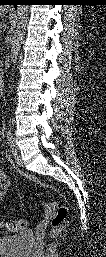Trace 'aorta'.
Segmentation results:
<instances>
[{"mask_svg": "<svg viewBox=\"0 0 106 257\" xmlns=\"http://www.w3.org/2000/svg\"><path fill=\"white\" fill-rule=\"evenodd\" d=\"M27 10H28L27 5H18L17 7V30L13 34L12 40H11L12 47H11L10 56H11V61L13 63L16 62V59L19 53V41H20L21 34L19 33L18 29L24 26L26 23Z\"/></svg>", "mask_w": 106, "mask_h": 257, "instance_id": "1", "label": "aorta"}]
</instances>
